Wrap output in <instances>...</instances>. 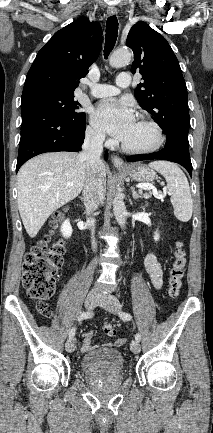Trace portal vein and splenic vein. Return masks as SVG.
Returning a JSON list of instances; mask_svg holds the SVG:
<instances>
[{
  "instance_id": "obj_1",
  "label": "portal vein and splenic vein",
  "mask_w": 213,
  "mask_h": 433,
  "mask_svg": "<svg viewBox=\"0 0 213 433\" xmlns=\"http://www.w3.org/2000/svg\"><path fill=\"white\" fill-rule=\"evenodd\" d=\"M67 186H71V183H68L67 184ZM137 188H139V189H143V190H152L153 191V195L157 198V199H163V197H164V195H162V194H158V192H157V190H156V188L153 186V185H151V184H139V185H137ZM149 196L148 195H146L145 196V198H148Z\"/></svg>"
}]
</instances>
